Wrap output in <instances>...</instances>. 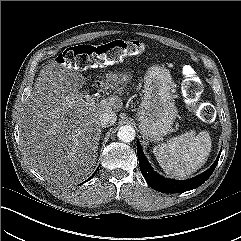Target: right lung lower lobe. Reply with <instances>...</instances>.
<instances>
[{"label": "right lung lower lobe", "instance_id": "98d812e1", "mask_svg": "<svg viewBox=\"0 0 241 241\" xmlns=\"http://www.w3.org/2000/svg\"><path fill=\"white\" fill-rule=\"evenodd\" d=\"M94 176V174L90 177V179Z\"/></svg>", "mask_w": 241, "mask_h": 241}]
</instances>
